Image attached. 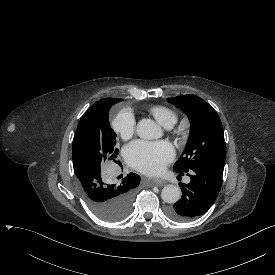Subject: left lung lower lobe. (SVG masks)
<instances>
[{
	"instance_id": "1",
	"label": "left lung lower lobe",
	"mask_w": 275,
	"mask_h": 275,
	"mask_svg": "<svg viewBox=\"0 0 275 275\" xmlns=\"http://www.w3.org/2000/svg\"><path fill=\"white\" fill-rule=\"evenodd\" d=\"M186 174L191 178L190 183L180 184L181 199L167 209V215L179 222L192 220L210 209L221 189L223 170L202 167Z\"/></svg>"
}]
</instances>
